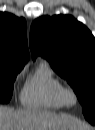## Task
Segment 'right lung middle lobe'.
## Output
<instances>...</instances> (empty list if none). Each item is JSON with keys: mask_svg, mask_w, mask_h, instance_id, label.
<instances>
[{"mask_svg": "<svg viewBox=\"0 0 95 130\" xmlns=\"http://www.w3.org/2000/svg\"><path fill=\"white\" fill-rule=\"evenodd\" d=\"M22 68L0 67V103H8L13 92V82Z\"/></svg>", "mask_w": 95, "mask_h": 130, "instance_id": "right-lung-middle-lobe-1", "label": "right lung middle lobe"}]
</instances>
